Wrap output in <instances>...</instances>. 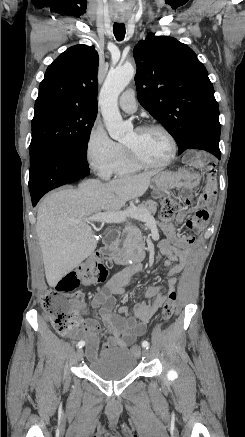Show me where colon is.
<instances>
[{
    "instance_id": "5ec220e1",
    "label": "colon",
    "mask_w": 245,
    "mask_h": 437,
    "mask_svg": "<svg viewBox=\"0 0 245 437\" xmlns=\"http://www.w3.org/2000/svg\"><path fill=\"white\" fill-rule=\"evenodd\" d=\"M178 209L177 203L167 198L163 201L160 216L163 221L171 220ZM107 278V268L99 254L86 258L78 267L65 274L57 283L54 290L43 297V307L47 312L54 328L64 334L72 335L77 332L75 320L78 302L81 295L76 293L79 286H92L102 283ZM177 295L170 292L161 311L162 323L170 320L174 314ZM131 352L139 356L141 348L138 343L131 345Z\"/></svg>"
}]
</instances>
